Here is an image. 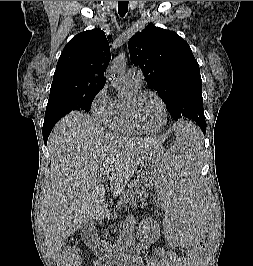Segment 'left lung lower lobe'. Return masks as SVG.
I'll use <instances>...</instances> for the list:
<instances>
[{
	"mask_svg": "<svg viewBox=\"0 0 253 266\" xmlns=\"http://www.w3.org/2000/svg\"><path fill=\"white\" fill-rule=\"evenodd\" d=\"M200 127H201L203 133H205V131H206V127H205V126H202V125H201Z\"/></svg>",
	"mask_w": 253,
	"mask_h": 266,
	"instance_id": "obj_1",
	"label": "left lung lower lobe"
}]
</instances>
